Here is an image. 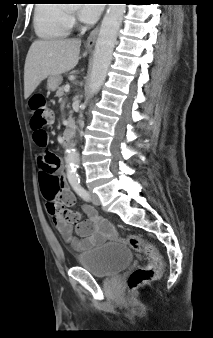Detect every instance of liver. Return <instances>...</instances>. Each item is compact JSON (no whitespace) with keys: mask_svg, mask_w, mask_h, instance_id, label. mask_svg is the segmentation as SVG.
I'll return each instance as SVG.
<instances>
[{"mask_svg":"<svg viewBox=\"0 0 213 338\" xmlns=\"http://www.w3.org/2000/svg\"><path fill=\"white\" fill-rule=\"evenodd\" d=\"M81 40H37L32 43L24 66V98L51 75L73 69L79 60Z\"/></svg>","mask_w":213,"mask_h":338,"instance_id":"liver-1","label":"liver"}]
</instances>
